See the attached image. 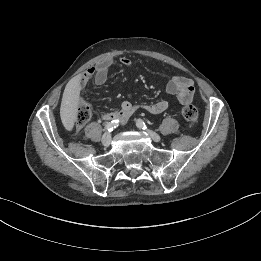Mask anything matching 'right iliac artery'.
<instances>
[{"label":"right iliac artery","mask_w":261,"mask_h":261,"mask_svg":"<svg viewBox=\"0 0 261 261\" xmlns=\"http://www.w3.org/2000/svg\"><path fill=\"white\" fill-rule=\"evenodd\" d=\"M118 125H119V121L113 120L105 125V130L111 132L113 129L118 127Z\"/></svg>","instance_id":"1"}]
</instances>
